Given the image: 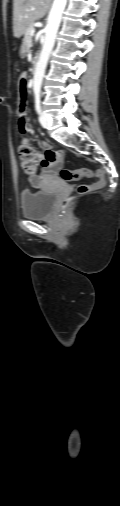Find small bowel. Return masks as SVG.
I'll return each instance as SVG.
<instances>
[{
	"label": "small bowel",
	"instance_id": "small-bowel-1",
	"mask_svg": "<svg viewBox=\"0 0 120 506\" xmlns=\"http://www.w3.org/2000/svg\"><path fill=\"white\" fill-rule=\"evenodd\" d=\"M42 146L46 149L45 152L40 153L39 164L42 167V171L38 176L30 178V182L35 187L42 186L45 182L54 179L58 174V166L64 160V152L61 150L54 151L51 146L43 143ZM52 156L53 159H49L48 156Z\"/></svg>",
	"mask_w": 120,
	"mask_h": 506
}]
</instances>
